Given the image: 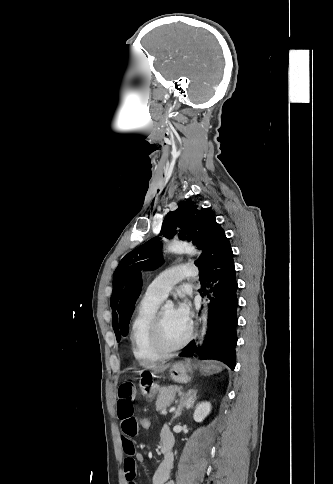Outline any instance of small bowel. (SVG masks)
<instances>
[{
    "instance_id": "small-bowel-1",
    "label": "small bowel",
    "mask_w": 333,
    "mask_h": 484,
    "mask_svg": "<svg viewBox=\"0 0 333 484\" xmlns=\"http://www.w3.org/2000/svg\"><path fill=\"white\" fill-rule=\"evenodd\" d=\"M117 417L121 424V442L126 457L124 459V472L127 484L136 483V463L143 462L144 456L136 450L134 438L139 433L137 417L135 414L134 400L136 398V387L132 381H124L118 388L117 393ZM160 441H169L173 444V435L169 427L164 426L160 431ZM173 464V456L170 460L158 466L153 475V484H175L170 479V471Z\"/></svg>"
}]
</instances>
